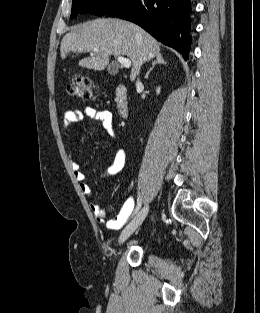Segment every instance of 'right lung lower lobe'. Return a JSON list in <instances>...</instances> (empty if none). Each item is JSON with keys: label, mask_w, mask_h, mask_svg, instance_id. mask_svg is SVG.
I'll list each match as a JSON object with an SVG mask.
<instances>
[{"label": "right lung lower lobe", "mask_w": 260, "mask_h": 313, "mask_svg": "<svg viewBox=\"0 0 260 313\" xmlns=\"http://www.w3.org/2000/svg\"><path fill=\"white\" fill-rule=\"evenodd\" d=\"M189 0H126L107 17L131 21L163 44L179 51L185 60L190 50Z\"/></svg>", "instance_id": "right-lung-lower-lobe-1"}]
</instances>
